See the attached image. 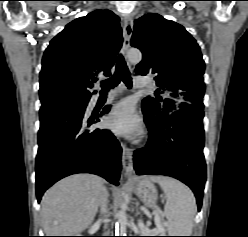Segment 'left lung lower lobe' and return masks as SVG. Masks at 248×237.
I'll use <instances>...</instances> for the list:
<instances>
[{
  "label": "left lung lower lobe",
  "mask_w": 248,
  "mask_h": 237,
  "mask_svg": "<svg viewBox=\"0 0 248 237\" xmlns=\"http://www.w3.org/2000/svg\"><path fill=\"white\" fill-rule=\"evenodd\" d=\"M142 111L150 137L145 148L134 152L136 173L166 175L182 181L194 192L200 210L206 181L204 112L178 109L163 123H157Z\"/></svg>",
  "instance_id": "0a47b994"
}]
</instances>
